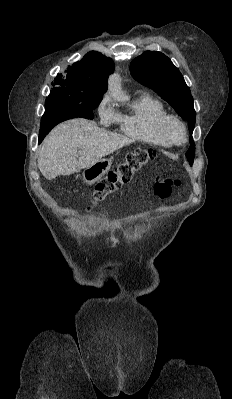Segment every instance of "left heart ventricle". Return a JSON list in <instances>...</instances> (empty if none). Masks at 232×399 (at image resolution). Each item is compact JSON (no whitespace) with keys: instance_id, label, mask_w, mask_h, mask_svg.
<instances>
[{"instance_id":"obj_1","label":"left heart ventricle","mask_w":232,"mask_h":399,"mask_svg":"<svg viewBox=\"0 0 232 399\" xmlns=\"http://www.w3.org/2000/svg\"><path fill=\"white\" fill-rule=\"evenodd\" d=\"M170 132L178 141H182L183 140L184 133H183L182 128L179 125H177L175 123H171Z\"/></svg>"}]
</instances>
